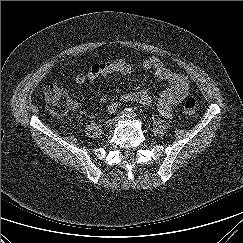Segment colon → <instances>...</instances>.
Returning <instances> with one entry per match:
<instances>
[{"label": "colon", "instance_id": "colon-1", "mask_svg": "<svg viewBox=\"0 0 243 243\" xmlns=\"http://www.w3.org/2000/svg\"><path fill=\"white\" fill-rule=\"evenodd\" d=\"M43 94L47 108L54 117L64 116L71 108V98L64 89L48 83L43 87ZM196 109V100L193 97H188L183 104L184 113L193 115Z\"/></svg>", "mask_w": 243, "mask_h": 243}]
</instances>
